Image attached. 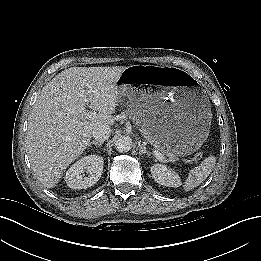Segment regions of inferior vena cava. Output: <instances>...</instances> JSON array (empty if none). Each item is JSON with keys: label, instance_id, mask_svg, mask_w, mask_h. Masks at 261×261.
I'll return each mask as SVG.
<instances>
[{"label": "inferior vena cava", "instance_id": "1", "mask_svg": "<svg viewBox=\"0 0 261 261\" xmlns=\"http://www.w3.org/2000/svg\"><path fill=\"white\" fill-rule=\"evenodd\" d=\"M111 129L108 125H101L97 128H95L92 132V136L95 140L99 142H103L107 140L110 137Z\"/></svg>", "mask_w": 261, "mask_h": 261}]
</instances>
